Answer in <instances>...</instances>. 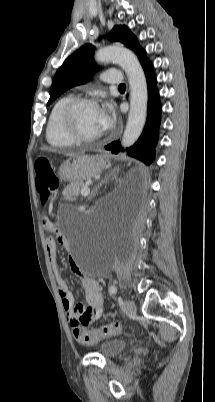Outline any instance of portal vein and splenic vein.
Instances as JSON below:
<instances>
[{"label":"portal vein and splenic vein","mask_w":215,"mask_h":402,"mask_svg":"<svg viewBox=\"0 0 215 402\" xmlns=\"http://www.w3.org/2000/svg\"><path fill=\"white\" fill-rule=\"evenodd\" d=\"M89 193H90V189H89L87 186L84 187V188L81 190V194H82V196H84V197L88 196Z\"/></svg>","instance_id":"obj_1"}]
</instances>
